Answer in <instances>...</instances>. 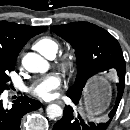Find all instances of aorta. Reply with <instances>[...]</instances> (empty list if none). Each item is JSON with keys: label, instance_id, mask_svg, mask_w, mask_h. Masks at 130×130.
Wrapping results in <instances>:
<instances>
[{"label": "aorta", "instance_id": "obj_1", "mask_svg": "<svg viewBox=\"0 0 130 130\" xmlns=\"http://www.w3.org/2000/svg\"><path fill=\"white\" fill-rule=\"evenodd\" d=\"M22 65L31 73H45L49 69V63L36 53H27L22 59ZM46 113L50 119H56L62 116L63 110L57 104H50Z\"/></svg>", "mask_w": 130, "mask_h": 130}]
</instances>
